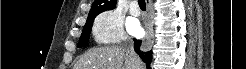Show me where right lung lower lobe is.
Instances as JSON below:
<instances>
[{
	"label": "right lung lower lobe",
	"mask_w": 246,
	"mask_h": 69,
	"mask_svg": "<svg viewBox=\"0 0 246 69\" xmlns=\"http://www.w3.org/2000/svg\"><path fill=\"white\" fill-rule=\"evenodd\" d=\"M141 45V40H136L134 39V49L136 53L140 56V58L147 63V66L149 68L150 62H151V57H152V51L148 52H141L139 50V46Z\"/></svg>",
	"instance_id": "1"
}]
</instances>
